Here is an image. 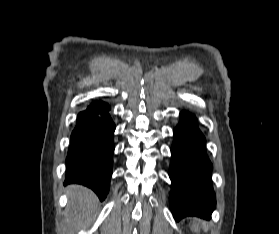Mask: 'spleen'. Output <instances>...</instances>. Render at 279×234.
<instances>
[{
  "instance_id": "obj_1",
  "label": "spleen",
  "mask_w": 279,
  "mask_h": 234,
  "mask_svg": "<svg viewBox=\"0 0 279 234\" xmlns=\"http://www.w3.org/2000/svg\"><path fill=\"white\" fill-rule=\"evenodd\" d=\"M192 229H193L195 232H197V231L199 230L198 225L193 224V225H192Z\"/></svg>"
}]
</instances>
